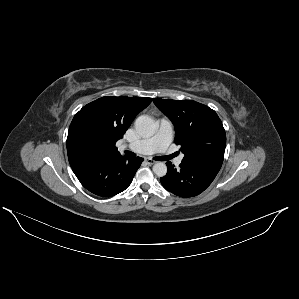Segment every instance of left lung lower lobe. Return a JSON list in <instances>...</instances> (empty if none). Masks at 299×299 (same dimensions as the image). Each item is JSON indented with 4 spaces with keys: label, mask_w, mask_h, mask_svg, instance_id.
I'll use <instances>...</instances> for the list:
<instances>
[{
    "label": "left lung lower lobe",
    "mask_w": 299,
    "mask_h": 299,
    "mask_svg": "<svg viewBox=\"0 0 299 299\" xmlns=\"http://www.w3.org/2000/svg\"><path fill=\"white\" fill-rule=\"evenodd\" d=\"M223 159L197 157L182 160L179 169L167 162V174L160 178L163 187L180 197H193L202 193L219 172Z\"/></svg>",
    "instance_id": "0a47b994"
}]
</instances>
